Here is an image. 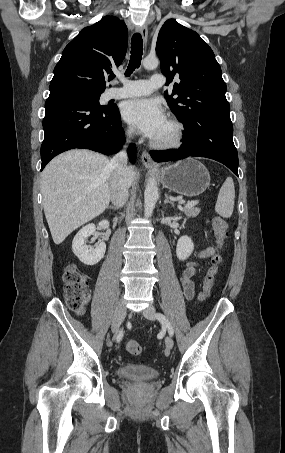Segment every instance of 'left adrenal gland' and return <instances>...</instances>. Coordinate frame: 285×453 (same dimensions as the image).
<instances>
[{
  "mask_svg": "<svg viewBox=\"0 0 285 453\" xmlns=\"http://www.w3.org/2000/svg\"><path fill=\"white\" fill-rule=\"evenodd\" d=\"M165 198L166 199L164 200V204L169 203V204H171L172 207H174V203L168 199V195L167 194H165Z\"/></svg>",
  "mask_w": 285,
  "mask_h": 453,
  "instance_id": "a2214340",
  "label": "left adrenal gland"
}]
</instances>
